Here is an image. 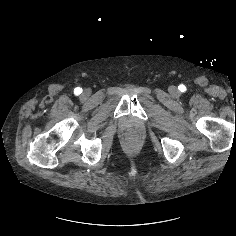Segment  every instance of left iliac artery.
Here are the masks:
<instances>
[{"label": "left iliac artery", "instance_id": "1", "mask_svg": "<svg viewBox=\"0 0 236 236\" xmlns=\"http://www.w3.org/2000/svg\"><path fill=\"white\" fill-rule=\"evenodd\" d=\"M178 88H179V90H180L181 92L186 91V87H185V85H183V84L179 85Z\"/></svg>", "mask_w": 236, "mask_h": 236}]
</instances>
